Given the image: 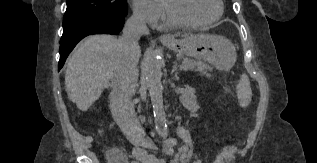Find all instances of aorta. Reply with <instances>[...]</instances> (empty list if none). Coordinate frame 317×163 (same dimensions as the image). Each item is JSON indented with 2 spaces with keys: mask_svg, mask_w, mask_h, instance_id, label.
I'll return each instance as SVG.
<instances>
[{
  "mask_svg": "<svg viewBox=\"0 0 317 163\" xmlns=\"http://www.w3.org/2000/svg\"><path fill=\"white\" fill-rule=\"evenodd\" d=\"M143 74L153 106L155 124L158 128H164L166 115L162 95L161 64L157 54L151 50L147 51L145 55Z\"/></svg>",
  "mask_w": 317,
  "mask_h": 163,
  "instance_id": "762f6f07",
  "label": "aorta"
}]
</instances>
